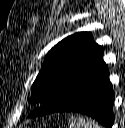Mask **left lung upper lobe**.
I'll return each instance as SVG.
<instances>
[{"mask_svg": "<svg viewBox=\"0 0 125 128\" xmlns=\"http://www.w3.org/2000/svg\"><path fill=\"white\" fill-rule=\"evenodd\" d=\"M103 48L89 32L66 37L46 55L32 86V101L43 106L30 113L39 117L65 106L83 78L102 58Z\"/></svg>", "mask_w": 125, "mask_h": 128, "instance_id": "left-lung-upper-lobe-1", "label": "left lung upper lobe"}]
</instances>
